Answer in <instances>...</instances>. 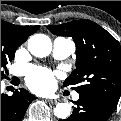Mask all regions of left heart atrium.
Returning a JSON list of instances; mask_svg holds the SVG:
<instances>
[{
	"label": "left heart atrium",
	"instance_id": "1",
	"mask_svg": "<svg viewBox=\"0 0 121 121\" xmlns=\"http://www.w3.org/2000/svg\"><path fill=\"white\" fill-rule=\"evenodd\" d=\"M27 84L37 93H49L56 87L55 74L46 68L30 67L27 73Z\"/></svg>",
	"mask_w": 121,
	"mask_h": 121
}]
</instances>
